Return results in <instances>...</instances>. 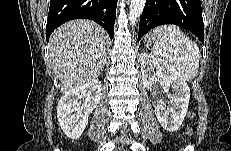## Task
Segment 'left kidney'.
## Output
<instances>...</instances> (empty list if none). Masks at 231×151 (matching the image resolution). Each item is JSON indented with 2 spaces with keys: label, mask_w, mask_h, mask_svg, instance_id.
Segmentation results:
<instances>
[{
  "label": "left kidney",
  "mask_w": 231,
  "mask_h": 151,
  "mask_svg": "<svg viewBox=\"0 0 231 151\" xmlns=\"http://www.w3.org/2000/svg\"><path fill=\"white\" fill-rule=\"evenodd\" d=\"M141 73L143 84L153 87L156 83L163 87L168 94L171 106L159 102L155 106V114L162 127L173 132L180 128L189 105L190 89L185 79L167 62L155 55L144 52L141 56Z\"/></svg>",
  "instance_id": "left-kidney-1"
}]
</instances>
